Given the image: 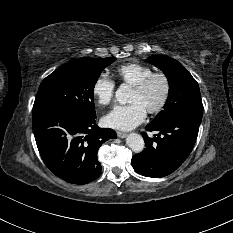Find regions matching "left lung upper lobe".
<instances>
[{
    "label": "left lung upper lobe",
    "instance_id": "1",
    "mask_svg": "<svg viewBox=\"0 0 233 233\" xmlns=\"http://www.w3.org/2000/svg\"><path fill=\"white\" fill-rule=\"evenodd\" d=\"M147 62L160 68L169 82L167 102L151 125H161L192 106L202 105L198 83L182 64L162 55H153Z\"/></svg>",
    "mask_w": 233,
    "mask_h": 233
}]
</instances>
